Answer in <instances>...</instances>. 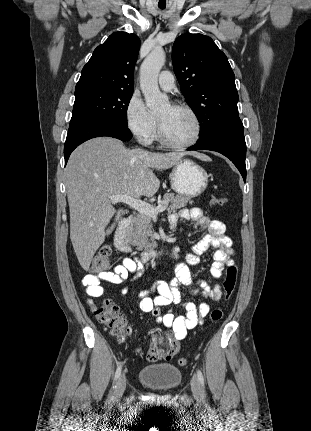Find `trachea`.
Segmentation results:
<instances>
[{"label":"trachea","mask_w":311,"mask_h":431,"mask_svg":"<svg viewBox=\"0 0 311 431\" xmlns=\"http://www.w3.org/2000/svg\"><path fill=\"white\" fill-rule=\"evenodd\" d=\"M159 8H161V10H164L165 7H159Z\"/></svg>","instance_id":"obj_1"}]
</instances>
